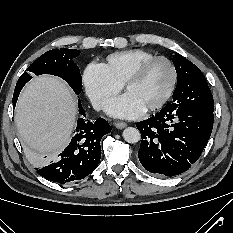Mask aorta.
<instances>
[{
  "instance_id": "aorta-1",
  "label": "aorta",
  "mask_w": 233,
  "mask_h": 233,
  "mask_svg": "<svg viewBox=\"0 0 233 233\" xmlns=\"http://www.w3.org/2000/svg\"><path fill=\"white\" fill-rule=\"evenodd\" d=\"M123 138L126 142L133 144L141 139V135L137 128L127 127L123 131Z\"/></svg>"
}]
</instances>
